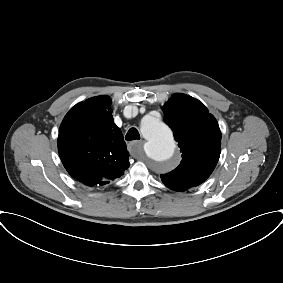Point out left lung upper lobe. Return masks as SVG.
<instances>
[{
    "label": "left lung upper lobe",
    "mask_w": 283,
    "mask_h": 283,
    "mask_svg": "<svg viewBox=\"0 0 283 283\" xmlns=\"http://www.w3.org/2000/svg\"><path fill=\"white\" fill-rule=\"evenodd\" d=\"M163 111L164 121L181 149L182 161L176 169L161 175V180L172 190L185 191L212 173L220 156L221 132L208 109L185 94H174Z\"/></svg>",
    "instance_id": "left-lung-upper-lobe-1"
}]
</instances>
